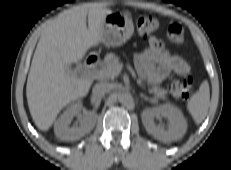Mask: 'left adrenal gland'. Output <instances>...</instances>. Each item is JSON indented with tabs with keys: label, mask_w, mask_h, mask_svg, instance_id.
I'll return each instance as SVG.
<instances>
[{
	"label": "left adrenal gland",
	"mask_w": 231,
	"mask_h": 170,
	"mask_svg": "<svg viewBox=\"0 0 231 170\" xmlns=\"http://www.w3.org/2000/svg\"><path fill=\"white\" fill-rule=\"evenodd\" d=\"M140 97L144 100L150 101V99L142 93L140 94Z\"/></svg>",
	"instance_id": "left-adrenal-gland-1"
}]
</instances>
